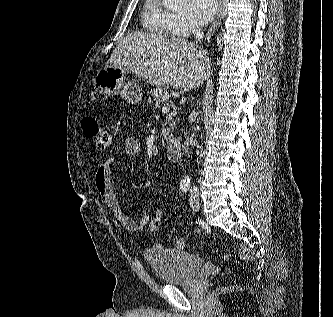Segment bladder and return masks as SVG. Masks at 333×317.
<instances>
[{"label":"bladder","mask_w":333,"mask_h":317,"mask_svg":"<svg viewBox=\"0 0 333 317\" xmlns=\"http://www.w3.org/2000/svg\"><path fill=\"white\" fill-rule=\"evenodd\" d=\"M145 258L161 282L173 285L192 283L203 267L199 255L163 246L147 249Z\"/></svg>","instance_id":"1"}]
</instances>
